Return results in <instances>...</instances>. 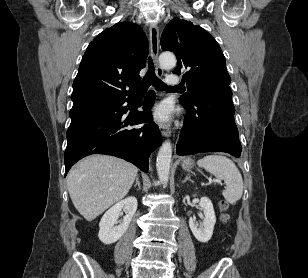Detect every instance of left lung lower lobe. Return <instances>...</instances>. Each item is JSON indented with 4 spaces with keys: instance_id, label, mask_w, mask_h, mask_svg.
<instances>
[{
    "instance_id": "1",
    "label": "left lung lower lobe",
    "mask_w": 308,
    "mask_h": 278,
    "mask_svg": "<svg viewBox=\"0 0 308 278\" xmlns=\"http://www.w3.org/2000/svg\"><path fill=\"white\" fill-rule=\"evenodd\" d=\"M182 105L187 115L176 147L178 155L218 151L235 157L241 155L229 86L209 90L192 104Z\"/></svg>"
}]
</instances>
